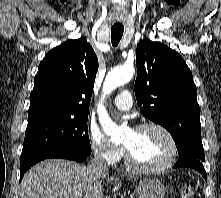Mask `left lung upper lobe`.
<instances>
[{
  "instance_id": "1",
  "label": "left lung upper lobe",
  "mask_w": 221,
  "mask_h": 198,
  "mask_svg": "<svg viewBox=\"0 0 221 198\" xmlns=\"http://www.w3.org/2000/svg\"><path fill=\"white\" fill-rule=\"evenodd\" d=\"M136 66L135 95L143 116L170 132L180 158L203 162L197 90L186 62L164 44L141 40Z\"/></svg>"
}]
</instances>
